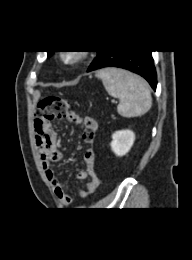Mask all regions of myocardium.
Listing matches in <instances>:
<instances>
[{"mask_svg":"<svg viewBox=\"0 0 192 260\" xmlns=\"http://www.w3.org/2000/svg\"><path fill=\"white\" fill-rule=\"evenodd\" d=\"M87 57L85 51H66L61 54L62 60L70 65H76L82 62Z\"/></svg>","mask_w":192,"mask_h":260,"instance_id":"obj_1","label":"myocardium"}]
</instances>
